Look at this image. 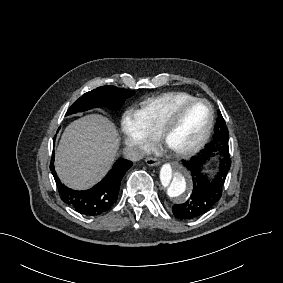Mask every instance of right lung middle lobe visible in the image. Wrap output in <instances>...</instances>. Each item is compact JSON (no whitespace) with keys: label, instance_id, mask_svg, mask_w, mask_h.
Wrapping results in <instances>:
<instances>
[{"label":"right lung middle lobe","instance_id":"dd1d6c3e","mask_svg":"<svg viewBox=\"0 0 283 283\" xmlns=\"http://www.w3.org/2000/svg\"><path fill=\"white\" fill-rule=\"evenodd\" d=\"M134 94L132 90H125L115 86H102L82 95L66 112L65 116L100 106L118 109L125 98Z\"/></svg>","mask_w":283,"mask_h":283}]
</instances>
